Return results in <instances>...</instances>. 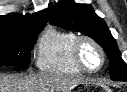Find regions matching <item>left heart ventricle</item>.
<instances>
[{
	"instance_id": "1",
	"label": "left heart ventricle",
	"mask_w": 127,
	"mask_h": 92,
	"mask_svg": "<svg viewBox=\"0 0 127 92\" xmlns=\"http://www.w3.org/2000/svg\"><path fill=\"white\" fill-rule=\"evenodd\" d=\"M83 63L88 69L95 70L101 65V55L99 51L90 43H84L81 48Z\"/></svg>"
}]
</instances>
